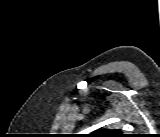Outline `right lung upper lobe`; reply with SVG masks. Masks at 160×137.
I'll use <instances>...</instances> for the list:
<instances>
[{"label": "right lung upper lobe", "mask_w": 160, "mask_h": 137, "mask_svg": "<svg viewBox=\"0 0 160 137\" xmlns=\"http://www.w3.org/2000/svg\"><path fill=\"white\" fill-rule=\"evenodd\" d=\"M96 135H99V136H119L121 135V131L120 130H101V131H97L95 133Z\"/></svg>", "instance_id": "obj_1"}]
</instances>
